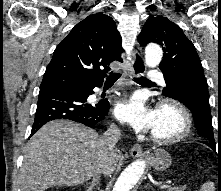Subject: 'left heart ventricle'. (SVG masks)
<instances>
[{
  "instance_id": "1",
  "label": "left heart ventricle",
  "mask_w": 221,
  "mask_h": 191,
  "mask_svg": "<svg viewBox=\"0 0 221 191\" xmlns=\"http://www.w3.org/2000/svg\"><path fill=\"white\" fill-rule=\"evenodd\" d=\"M179 126L178 115L170 109H164L158 112L157 124L153 131L161 135H170L175 133Z\"/></svg>"
}]
</instances>
